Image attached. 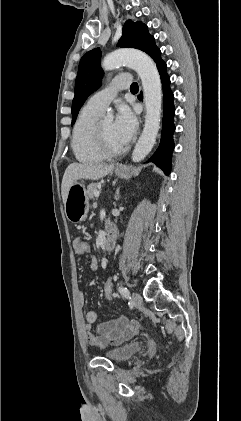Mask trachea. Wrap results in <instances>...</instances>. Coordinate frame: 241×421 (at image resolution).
<instances>
[{
  "instance_id": "obj_1",
  "label": "trachea",
  "mask_w": 241,
  "mask_h": 421,
  "mask_svg": "<svg viewBox=\"0 0 241 421\" xmlns=\"http://www.w3.org/2000/svg\"><path fill=\"white\" fill-rule=\"evenodd\" d=\"M130 90L131 91L138 90V84L136 82L132 83V85L130 86Z\"/></svg>"
}]
</instances>
